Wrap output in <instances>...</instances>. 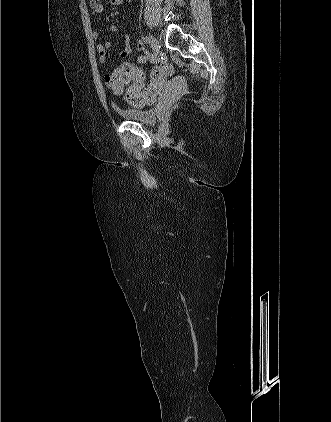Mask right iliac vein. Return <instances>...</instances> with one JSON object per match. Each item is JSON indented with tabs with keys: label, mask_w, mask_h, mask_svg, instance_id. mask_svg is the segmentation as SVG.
Returning a JSON list of instances; mask_svg holds the SVG:
<instances>
[{
	"label": "right iliac vein",
	"mask_w": 331,
	"mask_h": 422,
	"mask_svg": "<svg viewBox=\"0 0 331 422\" xmlns=\"http://www.w3.org/2000/svg\"><path fill=\"white\" fill-rule=\"evenodd\" d=\"M147 38H148L149 44L151 45L153 51L155 53H158V51L160 49V45H159V42L157 41V39L152 34H149Z\"/></svg>",
	"instance_id": "1"
}]
</instances>
